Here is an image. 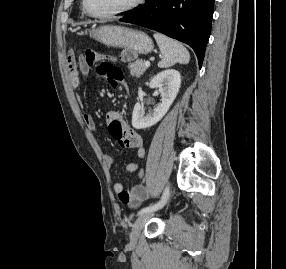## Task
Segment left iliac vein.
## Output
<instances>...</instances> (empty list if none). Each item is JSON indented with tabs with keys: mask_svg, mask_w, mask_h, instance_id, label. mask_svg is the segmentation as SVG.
<instances>
[{
	"mask_svg": "<svg viewBox=\"0 0 286 269\" xmlns=\"http://www.w3.org/2000/svg\"><path fill=\"white\" fill-rule=\"evenodd\" d=\"M154 215L153 211L145 212L139 215L136 219L131 234L130 240L132 243H135L140 235L141 230L143 229L145 223Z\"/></svg>",
	"mask_w": 286,
	"mask_h": 269,
	"instance_id": "4c4485c4",
	"label": "left iliac vein"
}]
</instances>
